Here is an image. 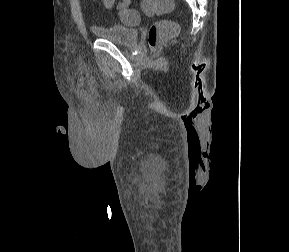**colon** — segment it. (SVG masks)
I'll return each mask as SVG.
<instances>
[{
	"instance_id": "5ec220e1",
	"label": "colon",
	"mask_w": 289,
	"mask_h": 252,
	"mask_svg": "<svg viewBox=\"0 0 289 252\" xmlns=\"http://www.w3.org/2000/svg\"><path fill=\"white\" fill-rule=\"evenodd\" d=\"M129 0H123L118 5L119 17L125 23L133 25L139 22L137 11L129 8ZM142 11L147 15H162L173 8L172 0H142ZM178 32V25L173 20H160L151 25L148 31V45L154 50L157 46L174 37Z\"/></svg>"
}]
</instances>
